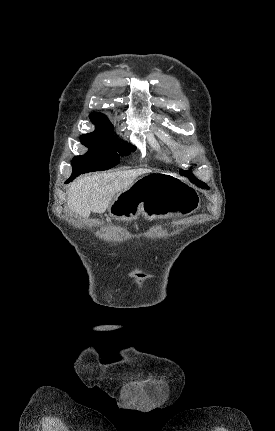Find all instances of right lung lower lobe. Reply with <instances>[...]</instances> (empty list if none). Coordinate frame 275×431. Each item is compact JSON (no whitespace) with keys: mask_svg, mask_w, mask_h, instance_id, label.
<instances>
[{"mask_svg":"<svg viewBox=\"0 0 275 431\" xmlns=\"http://www.w3.org/2000/svg\"><path fill=\"white\" fill-rule=\"evenodd\" d=\"M78 176H79V175H78ZM74 178H75V177H70V178L66 181V183H68V182L72 181Z\"/></svg>","mask_w":275,"mask_h":431,"instance_id":"right-lung-lower-lobe-1","label":"right lung lower lobe"}]
</instances>
